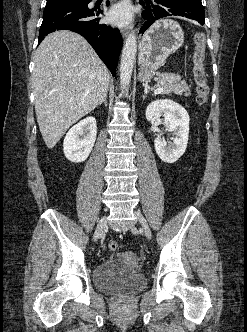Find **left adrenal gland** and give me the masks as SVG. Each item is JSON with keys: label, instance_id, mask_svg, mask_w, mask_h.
I'll list each match as a JSON object with an SVG mask.
<instances>
[{"label": "left adrenal gland", "instance_id": "1", "mask_svg": "<svg viewBox=\"0 0 247 332\" xmlns=\"http://www.w3.org/2000/svg\"><path fill=\"white\" fill-rule=\"evenodd\" d=\"M147 97V91L145 90L144 95L142 96L143 100Z\"/></svg>", "mask_w": 247, "mask_h": 332}]
</instances>
